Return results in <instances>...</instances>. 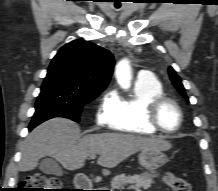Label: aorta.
<instances>
[{
  "instance_id": "762f6f07",
  "label": "aorta",
  "mask_w": 218,
  "mask_h": 191,
  "mask_svg": "<svg viewBox=\"0 0 218 191\" xmlns=\"http://www.w3.org/2000/svg\"><path fill=\"white\" fill-rule=\"evenodd\" d=\"M115 76L117 82L123 89H128L131 85V67L129 61L126 59L121 60L115 69Z\"/></svg>"
}]
</instances>
